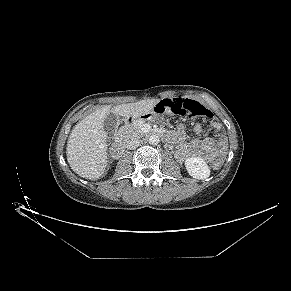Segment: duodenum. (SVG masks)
Returning <instances> with one entry per match:
<instances>
[{"instance_id":"410a0bca","label":"duodenum","mask_w":291,"mask_h":291,"mask_svg":"<svg viewBox=\"0 0 291 291\" xmlns=\"http://www.w3.org/2000/svg\"><path fill=\"white\" fill-rule=\"evenodd\" d=\"M151 134L152 135L161 136L162 132H160V131H152ZM124 148H125L124 140L122 138H117L112 144V148H111L112 155L115 158H119L122 155V153L124 151Z\"/></svg>"}]
</instances>
